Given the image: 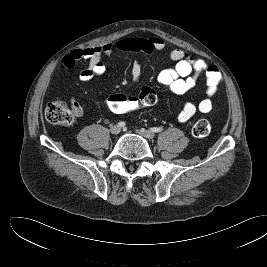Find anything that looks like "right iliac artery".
Listing matches in <instances>:
<instances>
[{
  "label": "right iliac artery",
  "mask_w": 267,
  "mask_h": 267,
  "mask_svg": "<svg viewBox=\"0 0 267 267\" xmlns=\"http://www.w3.org/2000/svg\"><path fill=\"white\" fill-rule=\"evenodd\" d=\"M125 125H126L125 122H122V121L118 123L119 127H124Z\"/></svg>",
  "instance_id": "1"
}]
</instances>
